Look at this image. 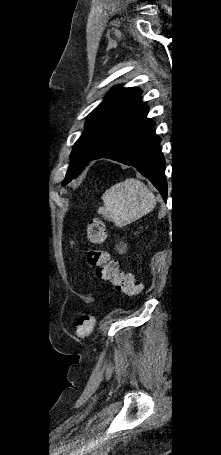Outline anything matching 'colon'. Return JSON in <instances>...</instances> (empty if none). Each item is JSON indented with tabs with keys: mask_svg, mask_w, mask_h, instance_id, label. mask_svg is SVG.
I'll list each match as a JSON object with an SVG mask.
<instances>
[{
	"mask_svg": "<svg viewBox=\"0 0 221 455\" xmlns=\"http://www.w3.org/2000/svg\"><path fill=\"white\" fill-rule=\"evenodd\" d=\"M87 235L90 242L97 248L88 252L89 264L95 269L98 279L112 283L115 290L126 295L134 296L142 289L141 282L130 273L119 270L118 264L109 253L99 246L105 242L106 232L104 222L97 217L90 219L87 225ZM94 327L92 315L81 314L76 321V335L79 338L88 336Z\"/></svg>",
	"mask_w": 221,
	"mask_h": 455,
	"instance_id": "colon-1",
	"label": "colon"
}]
</instances>
